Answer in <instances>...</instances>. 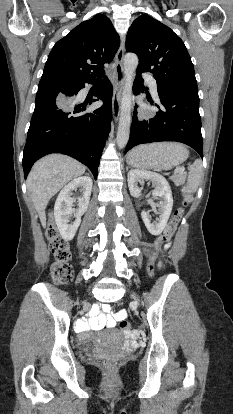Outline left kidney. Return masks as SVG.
I'll use <instances>...</instances> for the list:
<instances>
[{"instance_id":"1","label":"left kidney","mask_w":233,"mask_h":414,"mask_svg":"<svg viewBox=\"0 0 233 414\" xmlns=\"http://www.w3.org/2000/svg\"><path fill=\"white\" fill-rule=\"evenodd\" d=\"M141 180L151 181L155 187L152 194L159 197V203L157 204L159 218L157 222L151 223L148 213L145 210L141 212L147 230L152 235L157 236L164 230L171 214L173 206L172 192L167 180L163 176L151 171L132 169L128 172V187L133 197H137L141 193V189L138 187V182Z\"/></svg>"}]
</instances>
